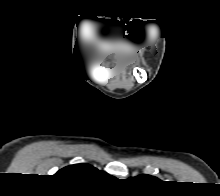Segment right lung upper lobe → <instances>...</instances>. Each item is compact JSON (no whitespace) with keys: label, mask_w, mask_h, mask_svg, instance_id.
Wrapping results in <instances>:
<instances>
[{"label":"right lung upper lobe","mask_w":220,"mask_h":196,"mask_svg":"<svg viewBox=\"0 0 220 196\" xmlns=\"http://www.w3.org/2000/svg\"><path fill=\"white\" fill-rule=\"evenodd\" d=\"M55 176L70 178L77 182L91 183L97 180L113 178L104 171H99L89 164H75L59 170Z\"/></svg>","instance_id":"right-lung-upper-lobe-1"}]
</instances>
